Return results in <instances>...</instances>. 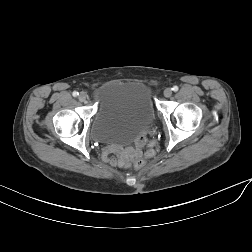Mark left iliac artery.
Returning <instances> with one entry per match:
<instances>
[{
	"label": "left iliac artery",
	"mask_w": 252,
	"mask_h": 252,
	"mask_svg": "<svg viewBox=\"0 0 252 252\" xmlns=\"http://www.w3.org/2000/svg\"><path fill=\"white\" fill-rule=\"evenodd\" d=\"M178 89H179V88H178V86H176V85L172 87V90H173L174 92H177Z\"/></svg>",
	"instance_id": "obj_1"
}]
</instances>
